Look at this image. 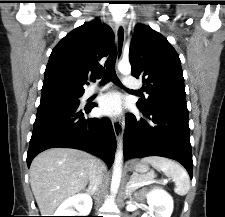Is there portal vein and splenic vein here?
<instances>
[{
    "label": "portal vein and splenic vein",
    "instance_id": "18ae733b",
    "mask_svg": "<svg viewBox=\"0 0 225 217\" xmlns=\"http://www.w3.org/2000/svg\"><path fill=\"white\" fill-rule=\"evenodd\" d=\"M153 178H154V174L151 175V179H150V180H148V181H146V182H143V183H139V184H134V183H132V184L129 185V187H135V186H137V185L143 186V185H146V184L153 183V182H155ZM163 182H167V181H166V180H163Z\"/></svg>",
    "mask_w": 225,
    "mask_h": 217
}]
</instances>
